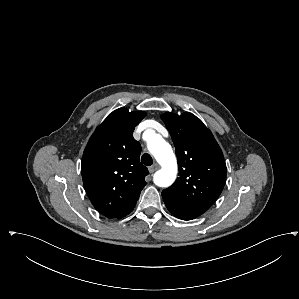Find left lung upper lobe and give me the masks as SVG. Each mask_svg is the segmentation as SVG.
I'll return each instance as SVG.
<instances>
[{
	"mask_svg": "<svg viewBox=\"0 0 299 299\" xmlns=\"http://www.w3.org/2000/svg\"><path fill=\"white\" fill-rule=\"evenodd\" d=\"M161 119L171 134L179 168V177L163 193L203 214L225 185L223 153L212 133L195 115L165 113Z\"/></svg>",
	"mask_w": 299,
	"mask_h": 299,
	"instance_id": "left-lung-upper-lobe-1",
	"label": "left lung upper lobe"
}]
</instances>
